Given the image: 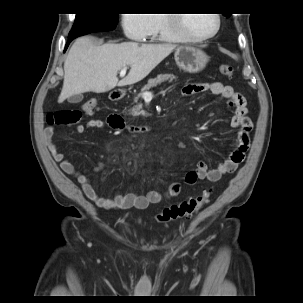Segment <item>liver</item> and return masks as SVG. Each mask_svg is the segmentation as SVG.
<instances>
[{"label":"liver","mask_w":303,"mask_h":303,"mask_svg":"<svg viewBox=\"0 0 303 303\" xmlns=\"http://www.w3.org/2000/svg\"><path fill=\"white\" fill-rule=\"evenodd\" d=\"M175 48L171 43L96 45L92 37H80L72 45L65 60L63 88L58 102L89 91L103 93L116 86L137 83ZM127 65L130 71L119 81L117 73Z\"/></svg>","instance_id":"1"}]
</instances>
